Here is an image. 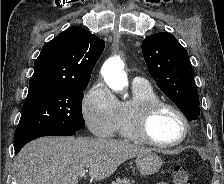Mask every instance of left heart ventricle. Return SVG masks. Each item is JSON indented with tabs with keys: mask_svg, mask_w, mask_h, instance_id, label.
I'll return each instance as SVG.
<instances>
[{
	"mask_svg": "<svg viewBox=\"0 0 224 184\" xmlns=\"http://www.w3.org/2000/svg\"><path fill=\"white\" fill-rule=\"evenodd\" d=\"M150 132L155 140L169 143L180 139L183 134V124L174 112L162 109L154 116Z\"/></svg>",
	"mask_w": 224,
	"mask_h": 184,
	"instance_id": "1",
	"label": "left heart ventricle"
}]
</instances>
